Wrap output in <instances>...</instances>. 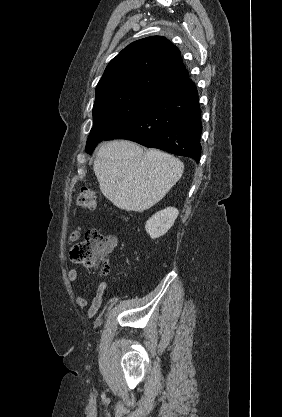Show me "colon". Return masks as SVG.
Instances as JSON below:
<instances>
[{
	"label": "colon",
	"instance_id": "obj_1",
	"mask_svg": "<svg viewBox=\"0 0 282 417\" xmlns=\"http://www.w3.org/2000/svg\"><path fill=\"white\" fill-rule=\"evenodd\" d=\"M79 204L87 209H94L97 204L96 194L92 189L83 188L77 197ZM109 244L95 230H89L84 241L76 243L71 249V259L75 264L84 265L99 271L103 275L109 274L107 256Z\"/></svg>",
	"mask_w": 282,
	"mask_h": 417
}]
</instances>
